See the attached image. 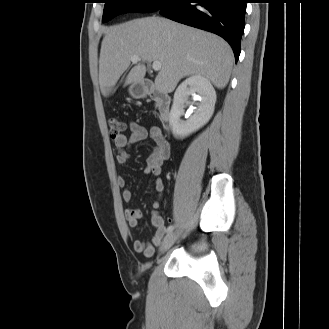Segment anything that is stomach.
I'll return each instance as SVG.
<instances>
[{
	"label": "stomach",
	"mask_w": 329,
	"mask_h": 329,
	"mask_svg": "<svg viewBox=\"0 0 329 329\" xmlns=\"http://www.w3.org/2000/svg\"><path fill=\"white\" fill-rule=\"evenodd\" d=\"M148 92V88L143 81L134 82L129 87V93L133 98L139 99L144 97Z\"/></svg>",
	"instance_id": "obj_1"
}]
</instances>
